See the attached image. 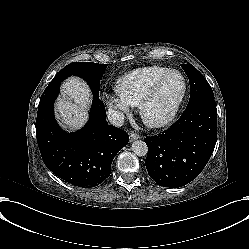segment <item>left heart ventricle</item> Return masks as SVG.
I'll return each mask as SVG.
<instances>
[{
    "mask_svg": "<svg viewBox=\"0 0 249 249\" xmlns=\"http://www.w3.org/2000/svg\"><path fill=\"white\" fill-rule=\"evenodd\" d=\"M180 92V79L177 75H172L158 91L156 97L146 106V116L153 120L166 117L173 108Z\"/></svg>",
    "mask_w": 249,
    "mask_h": 249,
    "instance_id": "b2bd125f",
    "label": "left heart ventricle"
}]
</instances>
